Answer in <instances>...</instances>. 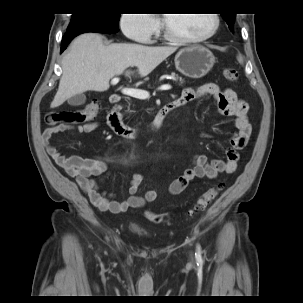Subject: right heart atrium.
Returning a JSON list of instances; mask_svg holds the SVG:
<instances>
[{"mask_svg":"<svg viewBox=\"0 0 303 303\" xmlns=\"http://www.w3.org/2000/svg\"><path fill=\"white\" fill-rule=\"evenodd\" d=\"M122 33L130 40L150 43L159 31V20L152 14H122L119 19Z\"/></svg>","mask_w":303,"mask_h":303,"instance_id":"right-heart-atrium-1","label":"right heart atrium"}]
</instances>
